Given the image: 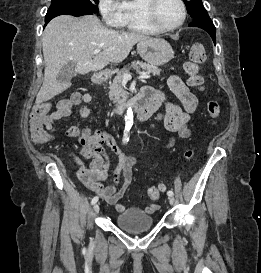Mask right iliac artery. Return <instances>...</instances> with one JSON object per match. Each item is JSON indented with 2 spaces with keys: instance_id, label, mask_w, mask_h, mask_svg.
<instances>
[{
  "instance_id": "1",
  "label": "right iliac artery",
  "mask_w": 261,
  "mask_h": 273,
  "mask_svg": "<svg viewBox=\"0 0 261 273\" xmlns=\"http://www.w3.org/2000/svg\"><path fill=\"white\" fill-rule=\"evenodd\" d=\"M128 132H129V129H127L125 132H124V137H123V143H127L129 141V136H128ZM98 201V197L95 196L93 197L91 203L92 204H95L96 202Z\"/></svg>"
}]
</instances>
